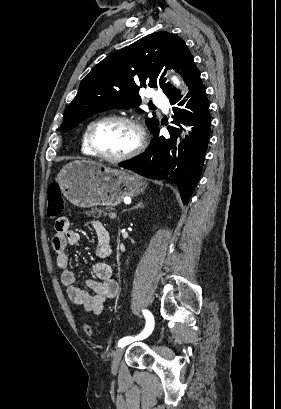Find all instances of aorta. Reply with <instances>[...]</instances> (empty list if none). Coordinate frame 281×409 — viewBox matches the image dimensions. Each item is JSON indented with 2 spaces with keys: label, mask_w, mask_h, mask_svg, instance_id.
I'll return each instance as SVG.
<instances>
[{
  "label": "aorta",
  "mask_w": 281,
  "mask_h": 409,
  "mask_svg": "<svg viewBox=\"0 0 281 409\" xmlns=\"http://www.w3.org/2000/svg\"><path fill=\"white\" fill-rule=\"evenodd\" d=\"M172 81H173V83H174L176 86H180V81L178 80V78L173 77V78H172Z\"/></svg>",
  "instance_id": "762f6f07"
}]
</instances>
